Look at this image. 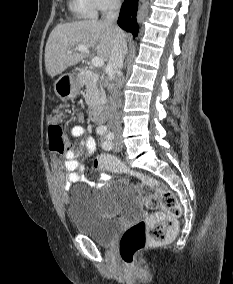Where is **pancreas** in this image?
Listing matches in <instances>:
<instances>
[{"label": "pancreas", "mask_w": 233, "mask_h": 284, "mask_svg": "<svg viewBox=\"0 0 233 284\" xmlns=\"http://www.w3.org/2000/svg\"><path fill=\"white\" fill-rule=\"evenodd\" d=\"M98 76L93 72H88L85 78V86H86V103L92 107H100L104 104L106 100L105 91L102 86H98Z\"/></svg>", "instance_id": "obj_1"}]
</instances>
